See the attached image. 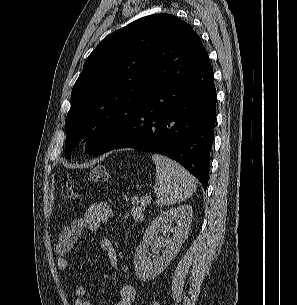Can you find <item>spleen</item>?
<instances>
[{
    "mask_svg": "<svg viewBox=\"0 0 297 305\" xmlns=\"http://www.w3.org/2000/svg\"><path fill=\"white\" fill-rule=\"evenodd\" d=\"M152 159L156 166L154 192L158 206L182 202L194 193L195 179L181 165L160 154H153Z\"/></svg>",
    "mask_w": 297,
    "mask_h": 305,
    "instance_id": "obj_1",
    "label": "spleen"
}]
</instances>
